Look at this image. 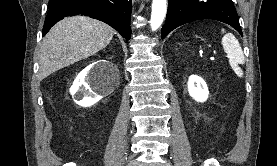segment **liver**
<instances>
[{
	"mask_svg": "<svg viewBox=\"0 0 277 166\" xmlns=\"http://www.w3.org/2000/svg\"><path fill=\"white\" fill-rule=\"evenodd\" d=\"M107 24L84 16L58 22L43 39L39 57V79L95 55L112 40Z\"/></svg>",
	"mask_w": 277,
	"mask_h": 166,
	"instance_id": "obj_1",
	"label": "liver"
}]
</instances>
